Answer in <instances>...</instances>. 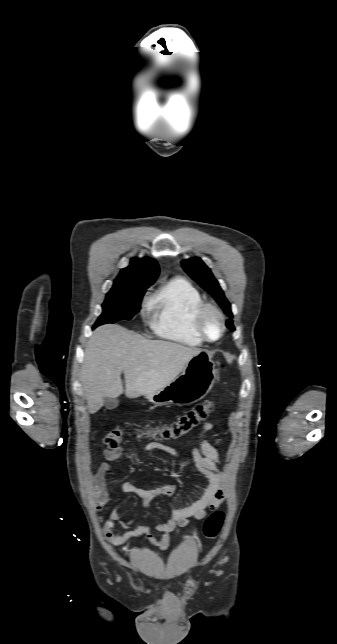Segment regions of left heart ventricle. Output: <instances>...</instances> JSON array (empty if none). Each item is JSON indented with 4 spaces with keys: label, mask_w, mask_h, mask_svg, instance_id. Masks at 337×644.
Wrapping results in <instances>:
<instances>
[{
    "label": "left heart ventricle",
    "mask_w": 337,
    "mask_h": 644,
    "mask_svg": "<svg viewBox=\"0 0 337 644\" xmlns=\"http://www.w3.org/2000/svg\"><path fill=\"white\" fill-rule=\"evenodd\" d=\"M204 330L207 336L211 339H215L219 334V322L217 317L210 313L206 316L204 320Z\"/></svg>",
    "instance_id": "1"
}]
</instances>
